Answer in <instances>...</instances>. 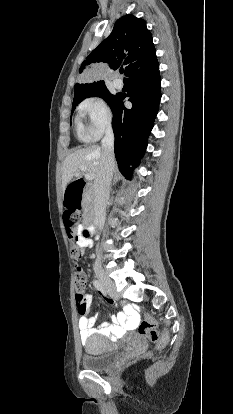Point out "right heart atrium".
I'll use <instances>...</instances> for the list:
<instances>
[{
  "mask_svg": "<svg viewBox=\"0 0 233 414\" xmlns=\"http://www.w3.org/2000/svg\"><path fill=\"white\" fill-rule=\"evenodd\" d=\"M79 113L86 120L81 135L87 141L99 139L112 125V111L100 96L86 98L79 105Z\"/></svg>",
  "mask_w": 233,
  "mask_h": 414,
  "instance_id": "obj_1",
  "label": "right heart atrium"
}]
</instances>
